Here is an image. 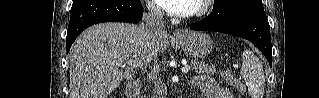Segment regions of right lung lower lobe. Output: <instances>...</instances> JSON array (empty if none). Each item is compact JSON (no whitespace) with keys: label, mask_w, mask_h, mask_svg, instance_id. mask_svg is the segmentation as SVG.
Returning <instances> with one entry per match:
<instances>
[{"label":"right lung lower lobe","mask_w":319,"mask_h":98,"mask_svg":"<svg viewBox=\"0 0 319 98\" xmlns=\"http://www.w3.org/2000/svg\"><path fill=\"white\" fill-rule=\"evenodd\" d=\"M143 16L140 0H74L67 31V52L87 27L102 22L138 23Z\"/></svg>","instance_id":"1"}]
</instances>
